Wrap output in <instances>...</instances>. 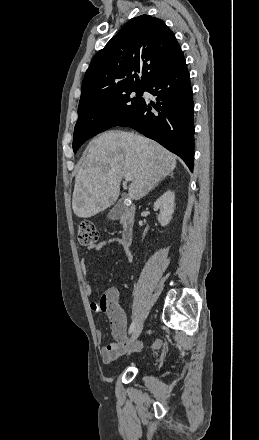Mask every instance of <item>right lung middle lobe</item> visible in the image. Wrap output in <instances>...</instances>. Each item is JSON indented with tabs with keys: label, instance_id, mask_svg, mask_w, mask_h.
Listing matches in <instances>:
<instances>
[{
	"label": "right lung middle lobe",
	"instance_id": "1",
	"mask_svg": "<svg viewBox=\"0 0 259 440\" xmlns=\"http://www.w3.org/2000/svg\"><path fill=\"white\" fill-rule=\"evenodd\" d=\"M144 91L146 88L122 90L79 108L73 136L74 153L86 140L131 117L141 106Z\"/></svg>",
	"mask_w": 259,
	"mask_h": 440
}]
</instances>
